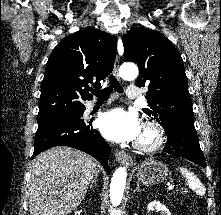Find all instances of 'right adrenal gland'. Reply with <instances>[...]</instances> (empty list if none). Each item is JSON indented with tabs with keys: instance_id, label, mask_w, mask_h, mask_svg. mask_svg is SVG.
<instances>
[{
	"instance_id": "2a0ac1e0",
	"label": "right adrenal gland",
	"mask_w": 221,
	"mask_h": 215,
	"mask_svg": "<svg viewBox=\"0 0 221 215\" xmlns=\"http://www.w3.org/2000/svg\"><path fill=\"white\" fill-rule=\"evenodd\" d=\"M97 182V175L94 177V179L91 181V184H90V188L93 187V184H96Z\"/></svg>"
}]
</instances>
